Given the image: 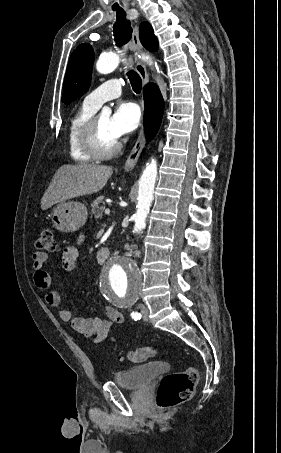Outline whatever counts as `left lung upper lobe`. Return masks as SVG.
I'll list each match as a JSON object with an SVG mask.
<instances>
[{
	"label": "left lung upper lobe",
	"instance_id": "5c2ea615",
	"mask_svg": "<svg viewBox=\"0 0 281 453\" xmlns=\"http://www.w3.org/2000/svg\"><path fill=\"white\" fill-rule=\"evenodd\" d=\"M93 60L94 51L89 44H81L74 50L65 75L62 102L70 104L88 90Z\"/></svg>",
	"mask_w": 281,
	"mask_h": 453
}]
</instances>
